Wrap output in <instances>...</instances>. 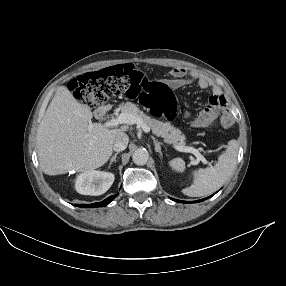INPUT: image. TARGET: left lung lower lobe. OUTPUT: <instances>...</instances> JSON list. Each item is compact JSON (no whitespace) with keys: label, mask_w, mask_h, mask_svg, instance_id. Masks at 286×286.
<instances>
[{"label":"left lung lower lobe","mask_w":286,"mask_h":286,"mask_svg":"<svg viewBox=\"0 0 286 286\" xmlns=\"http://www.w3.org/2000/svg\"><path fill=\"white\" fill-rule=\"evenodd\" d=\"M211 197V196H210ZM207 198H209V197H207ZM207 198H205V199H207ZM172 199V198H171ZM205 199H202V200H199V201H203V200H205ZM173 201H176V202H184V201H180V200H176V199H172ZM199 201H196V202H199Z\"/></svg>","instance_id":"0a47b994"}]
</instances>
